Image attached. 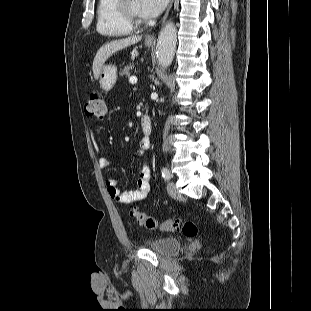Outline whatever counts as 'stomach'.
<instances>
[{
    "instance_id": "1",
    "label": "stomach",
    "mask_w": 311,
    "mask_h": 311,
    "mask_svg": "<svg viewBox=\"0 0 311 311\" xmlns=\"http://www.w3.org/2000/svg\"><path fill=\"white\" fill-rule=\"evenodd\" d=\"M145 45L150 47L152 43L145 41ZM98 78L99 84L103 90H111L117 80V67L115 65H103Z\"/></svg>"
}]
</instances>
